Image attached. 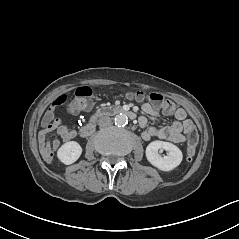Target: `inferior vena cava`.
Here are the masks:
<instances>
[{"label":"inferior vena cava","instance_id":"1","mask_svg":"<svg viewBox=\"0 0 239 239\" xmlns=\"http://www.w3.org/2000/svg\"><path fill=\"white\" fill-rule=\"evenodd\" d=\"M112 120L109 116H102L98 119V125L100 127H107L109 125H111Z\"/></svg>","mask_w":239,"mask_h":239}]
</instances>
